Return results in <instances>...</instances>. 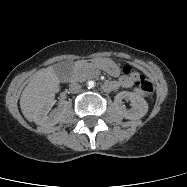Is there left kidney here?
Returning a JSON list of instances; mask_svg holds the SVG:
<instances>
[{
    "mask_svg": "<svg viewBox=\"0 0 187 187\" xmlns=\"http://www.w3.org/2000/svg\"><path fill=\"white\" fill-rule=\"evenodd\" d=\"M123 99L130 100L132 109L126 110L124 108L122 105ZM114 104L118 113L126 119H140L145 116L148 111V104L146 100L132 92L123 91L118 93L115 96Z\"/></svg>",
    "mask_w": 187,
    "mask_h": 187,
    "instance_id": "left-kidney-1",
    "label": "left kidney"
}]
</instances>
